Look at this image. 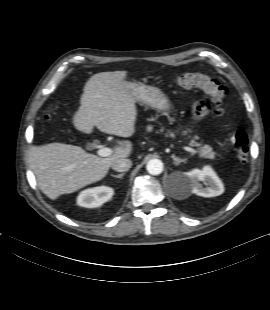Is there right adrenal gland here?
Listing matches in <instances>:
<instances>
[{
	"label": "right adrenal gland",
	"mask_w": 270,
	"mask_h": 310,
	"mask_svg": "<svg viewBox=\"0 0 270 310\" xmlns=\"http://www.w3.org/2000/svg\"><path fill=\"white\" fill-rule=\"evenodd\" d=\"M125 175V173H121V174H118V175H111L112 177H114V178H119V179H121L123 176Z\"/></svg>",
	"instance_id": "2a0ac1e0"
}]
</instances>
